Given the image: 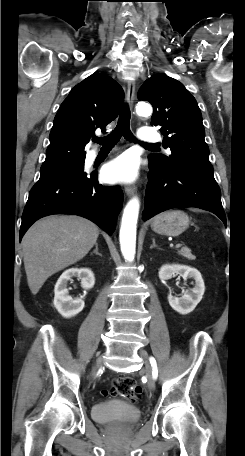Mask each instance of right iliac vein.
<instances>
[{
  "label": "right iliac vein",
  "instance_id": "obj_1",
  "mask_svg": "<svg viewBox=\"0 0 245 456\" xmlns=\"http://www.w3.org/2000/svg\"><path fill=\"white\" fill-rule=\"evenodd\" d=\"M102 358H98L97 361H96V369L97 370L101 365H102Z\"/></svg>",
  "mask_w": 245,
  "mask_h": 456
}]
</instances>
